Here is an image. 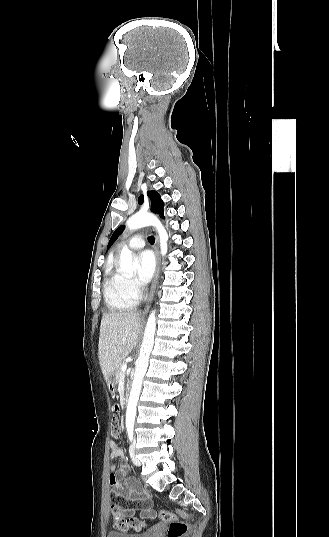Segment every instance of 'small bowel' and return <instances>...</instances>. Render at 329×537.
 <instances>
[{
    "mask_svg": "<svg viewBox=\"0 0 329 537\" xmlns=\"http://www.w3.org/2000/svg\"><path fill=\"white\" fill-rule=\"evenodd\" d=\"M122 408V403L116 401L113 404L112 412L117 414ZM110 455L113 459L123 458V451L115 442L110 443ZM110 470L109 483L114 488L113 493L109 496L111 505L127 507L131 502H136L138 503V509L140 510L142 518H152L154 514L150 508L149 493L147 489L141 487L135 479L127 477V464L122 463L118 467L116 465H111ZM134 512L135 509L124 510L126 515L131 516L129 518L131 523L127 528L132 527L137 530L143 525L136 518L132 517ZM121 528L122 526L118 529Z\"/></svg>",
    "mask_w": 329,
    "mask_h": 537,
    "instance_id": "c3829d8e",
    "label": "small bowel"
}]
</instances>
